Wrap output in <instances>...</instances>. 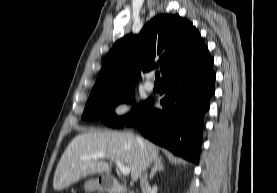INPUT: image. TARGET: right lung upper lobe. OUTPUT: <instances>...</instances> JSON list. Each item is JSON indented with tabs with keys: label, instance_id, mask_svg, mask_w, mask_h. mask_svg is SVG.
Masks as SVG:
<instances>
[{
	"label": "right lung upper lobe",
	"instance_id": "obj_1",
	"mask_svg": "<svg viewBox=\"0 0 277 193\" xmlns=\"http://www.w3.org/2000/svg\"><path fill=\"white\" fill-rule=\"evenodd\" d=\"M205 49L203 39L191 22L179 15H157L139 35H127L114 44L91 94L134 87L141 72L159 64L164 77Z\"/></svg>",
	"mask_w": 277,
	"mask_h": 193
}]
</instances>
